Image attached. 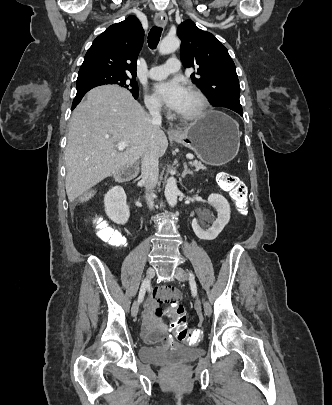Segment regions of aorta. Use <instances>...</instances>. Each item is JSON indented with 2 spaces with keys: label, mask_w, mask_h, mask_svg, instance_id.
<instances>
[{
  "label": "aorta",
  "mask_w": 332,
  "mask_h": 405,
  "mask_svg": "<svg viewBox=\"0 0 332 405\" xmlns=\"http://www.w3.org/2000/svg\"><path fill=\"white\" fill-rule=\"evenodd\" d=\"M179 46L180 41L177 37L166 36L159 43L158 49L160 54L166 55L176 51ZM178 194L179 190L177 188L176 179L170 177L165 186V197L171 207H174L177 204Z\"/></svg>",
  "instance_id": "762f6f07"
}]
</instances>
